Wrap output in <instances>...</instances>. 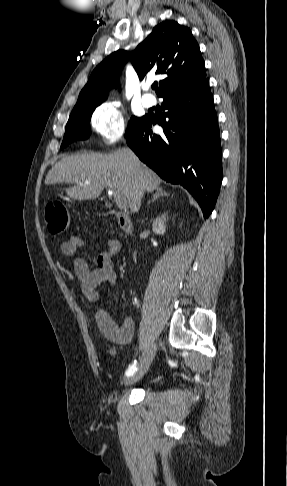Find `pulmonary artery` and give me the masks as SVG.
Returning a JSON list of instances; mask_svg holds the SVG:
<instances>
[{"label": "pulmonary artery", "instance_id": "obj_1", "mask_svg": "<svg viewBox=\"0 0 287 486\" xmlns=\"http://www.w3.org/2000/svg\"><path fill=\"white\" fill-rule=\"evenodd\" d=\"M148 89V86L145 87V90ZM142 104L145 106V107H152L156 100H155V97L149 93H145L143 96H142Z\"/></svg>", "mask_w": 287, "mask_h": 486}]
</instances>
